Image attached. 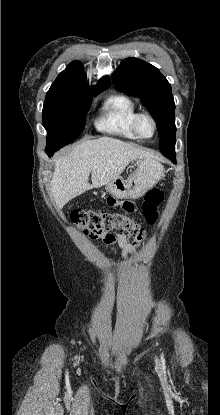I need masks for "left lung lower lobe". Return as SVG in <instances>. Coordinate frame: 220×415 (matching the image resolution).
<instances>
[{
	"instance_id": "left-lung-lower-lobe-1",
	"label": "left lung lower lobe",
	"mask_w": 220,
	"mask_h": 415,
	"mask_svg": "<svg viewBox=\"0 0 220 415\" xmlns=\"http://www.w3.org/2000/svg\"><path fill=\"white\" fill-rule=\"evenodd\" d=\"M168 159H170L173 163H176V154L175 153H166L164 154Z\"/></svg>"
}]
</instances>
